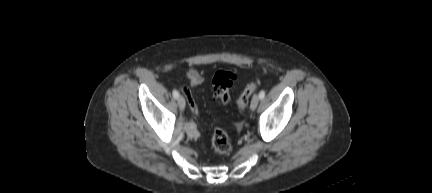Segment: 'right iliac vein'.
<instances>
[{
    "instance_id": "1",
    "label": "right iliac vein",
    "mask_w": 432,
    "mask_h": 193,
    "mask_svg": "<svg viewBox=\"0 0 432 193\" xmlns=\"http://www.w3.org/2000/svg\"><path fill=\"white\" fill-rule=\"evenodd\" d=\"M177 102H178V106L180 109L185 108L186 102H185V99L183 98V96H179Z\"/></svg>"
}]
</instances>
